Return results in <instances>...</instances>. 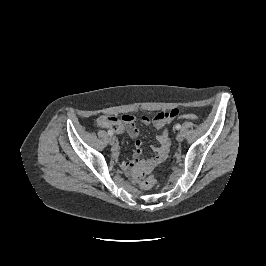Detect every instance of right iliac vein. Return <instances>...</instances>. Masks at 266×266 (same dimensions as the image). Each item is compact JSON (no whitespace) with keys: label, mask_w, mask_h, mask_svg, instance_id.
<instances>
[{"label":"right iliac vein","mask_w":266,"mask_h":266,"mask_svg":"<svg viewBox=\"0 0 266 266\" xmlns=\"http://www.w3.org/2000/svg\"><path fill=\"white\" fill-rule=\"evenodd\" d=\"M108 142H109L111 145L114 144V142H115V138L112 137V136H110V137L108 138Z\"/></svg>","instance_id":"obj_1"}]
</instances>
